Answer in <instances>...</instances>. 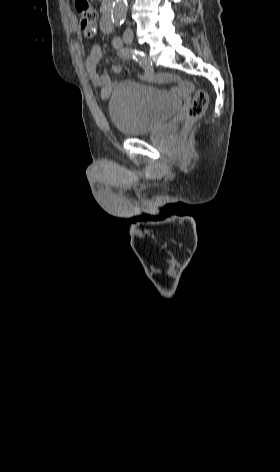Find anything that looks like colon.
I'll list each match as a JSON object with an SVG mask.
<instances>
[{"label":"colon","mask_w":280,"mask_h":472,"mask_svg":"<svg viewBox=\"0 0 280 472\" xmlns=\"http://www.w3.org/2000/svg\"><path fill=\"white\" fill-rule=\"evenodd\" d=\"M75 9L79 16L80 27L87 36H93L97 21V12L88 0H76ZM208 105V95L204 89H197L186 113V124L198 120Z\"/></svg>","instance_id":"colon-1"}]
</instances>
